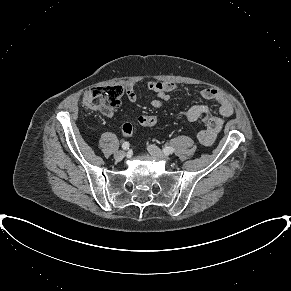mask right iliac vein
I'll list each match as a JSON object with an SVG mask.
<instances>
[{"instance_id":"1","label":"right iliac vein","mask_w":291,"mask_h":291,"mask_svg":"<svg viewBox=\"0 0 291 291\" xmlns=\"http://www.w3.org/2000/svg\"><path fill=\"white\" fill-rule=\"evenodd\" d=\"M125 156H126V152L123 151V150L117 151V152L114 154V158H115L117 161H121Z\"/></svg>"}]
</instances>
